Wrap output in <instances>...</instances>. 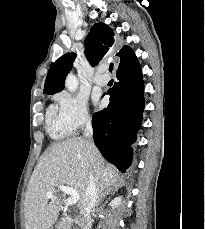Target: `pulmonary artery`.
Here are the masks:
<instances>
[{
	"label": "pulmonary artery",
	"instance_id": "pulmonary-artery-1",
	"mask_svg": "<svg viewBox=\"0 0 205 229\" xmlns=\"http://www.w3.org/2000/svg\"><path fill=\"white\" fill-rule=\"evenodd\" d=\"M94 82L97 84V85H100V86H104L106 85V83L108 82V79L101 76V75H97L95 78H94Z\"/></svg>",
	"mask_w": 205,
	"mask_h": 229
}]
</instances>
